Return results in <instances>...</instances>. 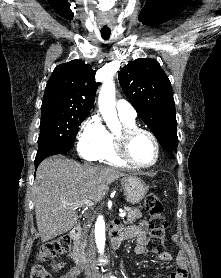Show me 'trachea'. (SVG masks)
I'll return each mask as SVG.
<instances>
[{
    "instance_id": "obj_1",
    "label": "trachea",
    "mask_w": 221,
    "mask_h": 278,
    "mask_svg": "<svg viewBox=\"0 0 221 278\" xmlns=\"http://www.w3.org/2000/svg\"><path fill=\"white\" fill-rule=\"evenodd\" d=\"M111 31L110 30H101V37L107 41L110 38Z\"/></svg>"
}]
</instances>
